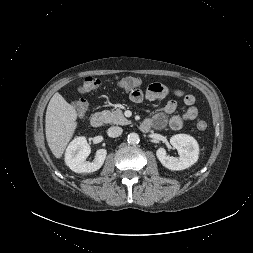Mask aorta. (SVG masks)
I'll use <instances>...</instances> for the list:
<instances>
[{
    "mask_svg": "<svg viewBox=\"0 0 253 253\" xmlns=\"http://www.w3.org/2000/svg\"><path fill=\"white\" fill-rule=\"evenodd\" d=\"M127 141L128 143L130 144H138L140 139H139V135L137 133H130L128 136H127Z\"/></svg>",
    "mask_w": 253,
    "mask_h": 253,
    "instance_id": "1",
    "label": "aorta"
}]
</instances>
